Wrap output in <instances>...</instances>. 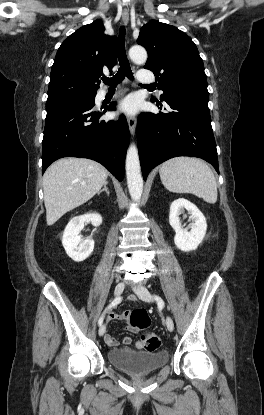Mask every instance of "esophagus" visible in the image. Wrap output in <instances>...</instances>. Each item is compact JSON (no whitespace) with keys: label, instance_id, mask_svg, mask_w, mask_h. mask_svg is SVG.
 Masks as SVG:
<instances>
[{"label":"esophagus","instance_id":"34e87169","mask_svg":"<svg viewBox=\"0 0 264 415\" xmlns=\"http://www.w3.org/2000/svg\"><path fill=\"white\" fill-rule=\"evenodd\" d=\"M122 21L124 24H128L129 22V12L128 11H123L122 12ZM127 121H128V126H129V130L131 135L134 136L135 131H136V117L135 116H128L127 117Z\"/></svg>","mask_w":264,"mask_h":415}]
</instances>
